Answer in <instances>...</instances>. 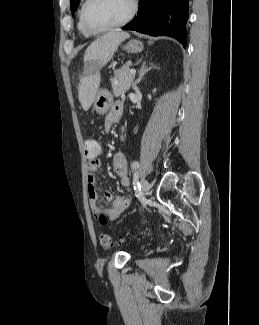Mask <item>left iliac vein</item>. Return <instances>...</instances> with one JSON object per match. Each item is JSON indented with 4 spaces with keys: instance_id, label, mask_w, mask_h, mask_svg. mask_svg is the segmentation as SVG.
Instances as JSON below:
<instances>
[{
    "instance_id": "obj_1",
    "label": "left iliac vein",
    "mask_w": 259,
    "mask_h": 325,
    "mask_svg": "<svg viewBox=\"0 0 259 325\" xmlns=\"http://www.w3.org/2000/svg\"><path fill=\"white\" fill-rule=\"evenodd\" d=\"M141 190L144 195H146L150 190V184L146 179H141Z\"/></svg>"
}]
</instances>
